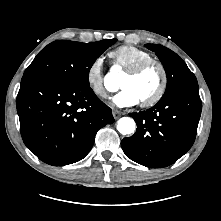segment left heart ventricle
Wrapping results in <instances>:
<instances>
[{
	"label": "left heart ventricle",
	"mask_w": 221,
	"mask_h": 221,
	"mask_svg": "<svg viewBox=\"0 0 221 221\" xmlns=\"http://www.w3.org/2000/svg\"><path fill=\"white\" fill-rule=\"evenodd\" d=\"M160 84V71L157 66L151 65L135 76L123 74L119 85L121 88L131 89L143 101L151 97Z\"/></svg>",
	"instance_id": "left-heart-ventricle-1"
}]
</instances>
